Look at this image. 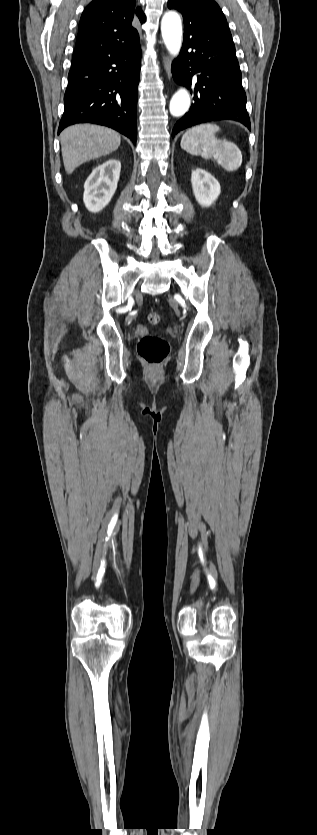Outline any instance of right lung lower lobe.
Masks as SVG:
<instances>
[{
	"label": "right lung lower lobe",
	"mask_w": 317,
	"mask_h": 835,
	"mask_svg": "<svg viewBox=\"0 0 317 835\" xmlns=\"http://www.w3.org/2000/svg\"><path fill=\"white\" fill-rule=\"evenodd\" d=\"M140 67L139 37L113 49L75 50L58 134L76 123H94L113 128L135 143Z\"/></svg>",
	"instance_id": "obj_1"
}]
</instances>
